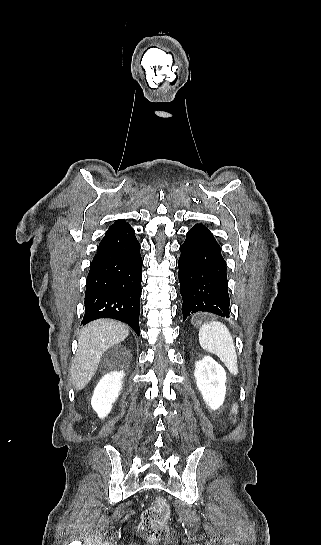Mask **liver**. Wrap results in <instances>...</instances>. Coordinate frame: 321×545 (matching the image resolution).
I'll list each match as a JSON object with an SVG mask.
<instances>
[{"mask_svg": "<svg viewBox=\"0 0 321 545\" xmlns=\"http://www.w3.org/2000/svg\"><path fill=\"white\" fill-rule=\"evenodd\" d=\"M126 325L110 319H98L84 327L78 339V349L71 367V381L76 391H82L93 379L102 355L107 349L128 337Z\"/></svg>", "mask_w": 321, "mask_h": 545, "instance_id": "liver-1", "label": "liver"}]
</instances>
